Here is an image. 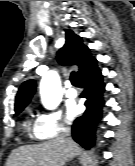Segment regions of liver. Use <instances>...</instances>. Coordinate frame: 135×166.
Here are the masks:
<instances>
[{"instance_id": "6515ba94", "label": "liver", "mask_w": 135, "mask_h": 166, "mask_svg": "<svg viewBox=\"0 0 135 166\" xmlns=\"http://www.w3.org/2000/svg\"><path fill=\"white\" fill-rule=\"evenodd\" d=\"M79 152V146L68 137H60L42 144L21 146L10 154L6 166H63Z\"/></svg>"}]
</instances>
